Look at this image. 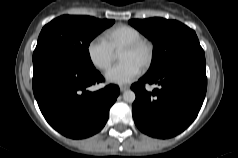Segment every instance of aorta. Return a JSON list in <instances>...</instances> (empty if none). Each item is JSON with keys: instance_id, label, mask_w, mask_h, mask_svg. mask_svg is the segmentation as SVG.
<instances>
[{"instance_id": "obj_1", "label": "aorta", "mask_w": 238, "mask_h": 158, "mask_svg": "<svg viewBox=\"0 0 238 158\" xmlns=\"http://www.w3.org/2000/svg\"><path fill=\"white\" fill-rule=\"evenodd\" d=\"M136 95L132 90H126L123 93L124 101L128 103H133L135 101Z\"/></svg>"}]
</instances>
